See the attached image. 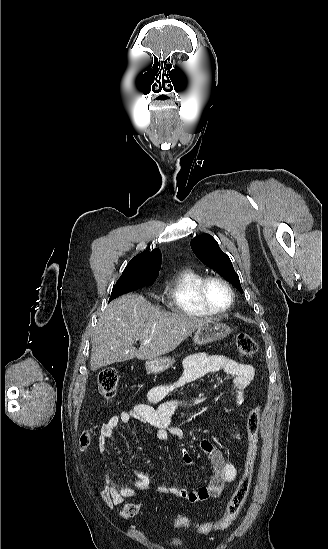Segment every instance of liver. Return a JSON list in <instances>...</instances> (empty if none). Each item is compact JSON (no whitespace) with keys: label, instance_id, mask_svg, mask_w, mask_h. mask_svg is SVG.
I'll use <instances>...</instances> for the list:
<instances>
[{"label":"liver","instance_id":"1","mask_svg":"<svg viewBox=\"0 0 328 549\" xmlns=\"http://www.w3.org/2000/svg\"><path fill=\"white\" fill-rule=\"evenodd\" d=\"M98 317L92 339L91 371L112 363L156 359L171 353L210 321L185 313H163L134 293L115 299ZM135 341H140L139 349L133 347Z\"/></svg>","mask_w":328,"mask_h":549}]
</instances>
